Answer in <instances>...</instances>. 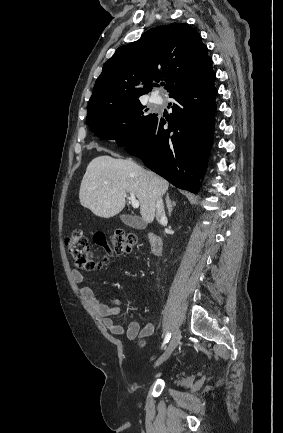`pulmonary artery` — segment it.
Wrapping results in <instances>:
<instances>
[{
  "mask_svg": "<svg viewBox=\"0 0 283 433\" xmlns=\"http://www.w3.org/2000/svg\"><path fill=\"white\" fill-rule=\"evenodd\" d=\"M151 99H152V101H153L154 103H157V102H158V98L155 97V96H152Z\"/></svg>",
  "mask_w": 283,
  "mask_h": 433,
  "instance_id": "e3ab8cb5",
  "label": "pulmonary artery"
}]
</instances>
